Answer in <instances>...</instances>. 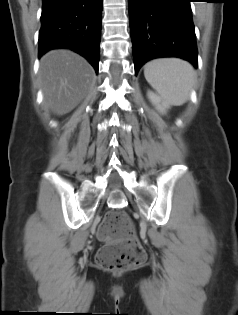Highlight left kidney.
I'll return each instance as SVG.
<instances>
[{
	"label": "left kidney",
	"instance_id": "left-kidney-1",
	"mask_svg": "<svg viewBox=\"0 0 238 315\" xmlns=\"http://www.w3.org/2000/svg\"><path fill=\"white\" fill-rule=\"evenodd\" d=\"M148 98L151 103L155 106V108L162 114L166 113V110L170 108V105L162 100L158 95L153 93L152 91L148 92Z\"/></svg>",
	"mask_w": 238,
	"mask_h": 315
}]
</instances>
